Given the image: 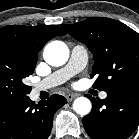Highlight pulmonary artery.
<instances>
[{"mask_svg":"<svg viewBox=\"0 0 139 139\" xmlns=\"http://www.w3.org/2000/svg\"><path fill=\"white\" fill-rule=\"evenodd\" d=\"M87 60H88V53L86 48L81 45L74 46L71 51L68 63L61 69L55 71L54 73L43 79L41 82L36 84L33 87V95L36 96L41 91H45L47 89H50L52 87L64 83L73 75L83 70L87 64ZM106 97H107L106 92L100 93L101 99H105Z\"/></svg>","mask_w":139,"mask_h":139,"instance_id":"pulmonary-artery-1","label":"pulmonary artery"}]
</instances>
